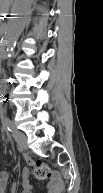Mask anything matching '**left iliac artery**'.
<instances>
[{
    "mask_svg": "<svg viewBox=\"0 0 103 193\" xmlns=\"http://www.w3.org/2000/svg\"><path fill=\"white\" fill-rule=\"evenodd\" d=\"M4 124L6 128L8 129V131L12 132L14 130V125L8 117H5Z\"/></svg>",
    "mask_w": 103,
    "mask_h": 193,
    "instance_id": "left-iliac-artery-1",
    "label": "left iliac artery"
}]
</instances>
